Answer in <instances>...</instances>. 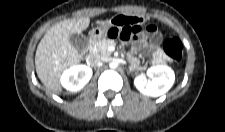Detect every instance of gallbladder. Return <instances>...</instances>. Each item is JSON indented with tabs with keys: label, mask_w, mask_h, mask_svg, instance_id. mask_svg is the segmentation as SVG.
Masks as SVG:
<instances>
[{
	"label": "gallbladder",
	"mask_w": 225,
	"mask_h": 132,
	"mask_svg": "<svg viewBox=\"0 0 225 132\" xmlns=\"http://www.w3.org/2000/svg\"><path fill=\"white\" fill-rule=\"evenodd\" d=\"M71 44L79 51L83 52L88 46V39L83 34L72 33L69 36Z\"/></svg>",
	"instance_id": "bac80fb5"
}]
</instances>
